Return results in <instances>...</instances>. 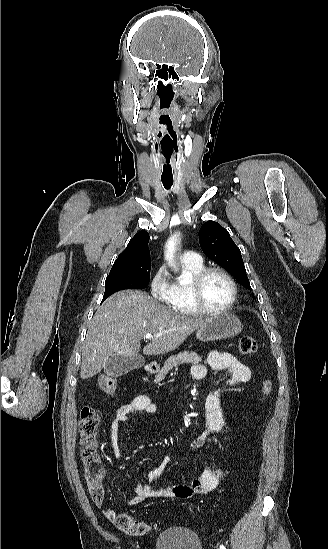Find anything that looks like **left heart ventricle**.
Listing matches in <instances>:
<instances>
[{
  "label": "left heart ventricle",
  "mask_w": 328,
  "mask_h": 549,
  "mask_svg": "<svg viewBox=\"0 0 328 549\" xmlns=\"http://www.w3.org/2000/svg\"><path fill=\"white\" fill-rule=\"evenodd\" d=\"M232 287L228 279L219 272L207 275L201 286V297L208 309H220L231 299Z\"/></svg>",
  "instance_id": "obj_1"
}]
</instances>
